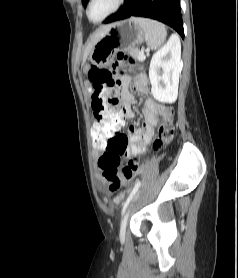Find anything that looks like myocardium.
Returning a JSON list of instances; mask_svg holds the SVG:
<instances>
[{"instance_id": "f54148a6", "label": "myocardium", "mask_w": 238, "mask_h": 278, "mask_svg": "<svg viewBox=\"0 0 238 278\" xmlns=\"http://www.w3.org/2000/svg\"><path fill=\"white\" fill-rule=\"evenodd\" d=\"M92 2H93V0H88V2L86 4V8H85L86 17L91 23L100 24V23L104 22L105 20H107L109 17L113 16L115 13H117L123 6L125 0H117L115 7L106 16H104L102 19H100L98 21L92 20L89 15V9H90Z\"/></svg>"}]
</instances>
